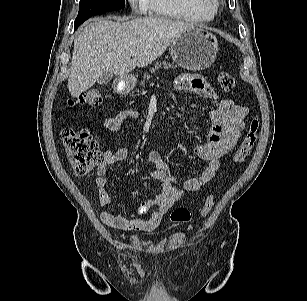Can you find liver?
I'll return each instance as SVG.
<instances>
[{"label": "liver", "mask_w": 307, "mask_h": 301, "mask_svg": "<svg viewBox=\"0 0 307 301\" xmlns=\"http://www.w3.org/2000/svg\"><path fill=\"white\" fill-rule=\"evenodd\" d=\"M193 25L159 16L127 22H92L74 40L68 89L76 98L90 89L99 76L110 72L124 77L160 57L171 43ZM136 52L131 59L130 53Z\"/></svg>", "instance_id": "obj_1"}]
</instances>
